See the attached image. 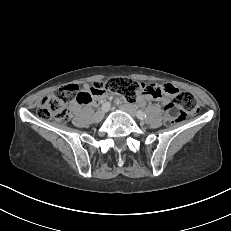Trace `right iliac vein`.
<instances>
[{
    "label": "right iliac vein",
    "mask_w": 231,
    "mask_h": 231,
    "mask_svg": "<svg viewBox=\"0 0 231 231\" xmlns=\"http://www.w3.org/2000/svg\"><path fill=\"white\" fill-rule=\"evenodd\" d=\"M105 112L106 111H104V110L98 111L94 116V121L95 122H100L103 119V117L105 115Z\"/></svg>",
    "instance_id": "right-iliac-vein-1"
}]
</instances>
